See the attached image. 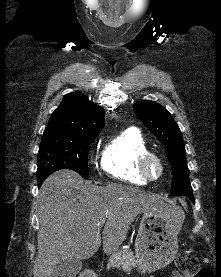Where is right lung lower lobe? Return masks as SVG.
I'll return each mask as SVG.
<instances>
[{
    "instance_id": "right-lung-lower-lobe-1",
    "label": "right lung lower lobe",
    "mask_w": 221,
    "mask_h": 277,
    "mask_svg": "<svg viewBox=\"0 0 221 277\" xmlns=\"http://www.w3.org/2000/svg\"><path fill=\"white\" fill-rule=\"evenodd\" d=\"M42 183H43V182H38L39 187H40V185H41Z\"/></svg>"
}]
</instances>
